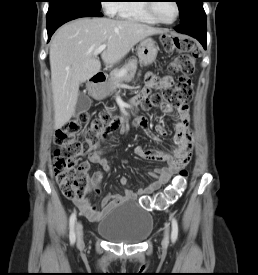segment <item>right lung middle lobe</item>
<instances>
[{"instance_id": "1", "label": "right lung middle lobe", "mask_w": 258, "mask_h": 275, "mask_svg": "<svg viewBox=\"0 0 258 275\" xmlns=\"http://www.w3.org/2000/svg\"><path fill=\"white\" fill-rule=\"evenodd\" d=\"M65 6L86 7L100 11L101 0H50L48 11H52Z\"/></svg>"}]
</instances>
